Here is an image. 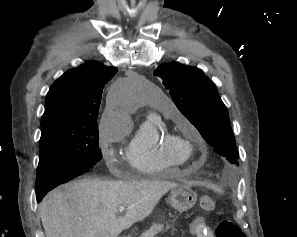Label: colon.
<instances>
[{
	"label": "colon",
	"mask_w": 297,
	"mask_h": 237,
	"mask_svg": "<svg viewBox=\"0 0 297 237\" xmlns=\"http://www.w3.org/2000/svg\"><path fill=\"white\" fill-rule=\"evenodd\" d=\"M200 205L205 211L215 209L216 202L212 195L203 194L200 197ZM215 237H245L242 229L230 220H221L214 228Z\"/></svg>",
	"instance_id": "5ec220e1"
}]
</instances>
